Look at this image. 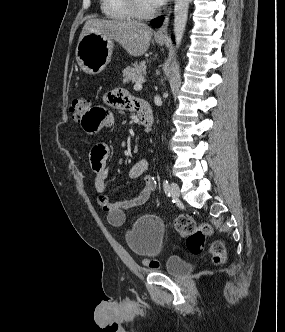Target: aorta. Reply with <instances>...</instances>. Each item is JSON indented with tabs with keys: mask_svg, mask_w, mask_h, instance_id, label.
Instances as JSON below:
<instances>
[{
	"mask_svg": "<svg viewBox=\"0 0 285 332\" xmlns=\"http://www.w3.org/2000/svg\"><path fill=\"white\" fill-rule=\"evenodd\" d=\"M190 0H175L174 6V36L176 48H179L188 17V8Z\"/></svg>",
	"mask_w": 285,
	"mask_h": 332,
	"instance_id": "aorta-1",
	"label": "aorta"
}]
</instances>
